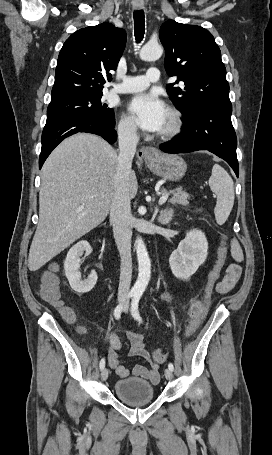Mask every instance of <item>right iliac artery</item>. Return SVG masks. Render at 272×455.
Returning a JSON list of instances; mask_svg holds the SVG:
<instances>
[{
  "label": "right iliac artery",
  "mask_w": 272,
  "mask_h": 455,
  "mask_svg": "<svg viewBox=\"0 0 272 455\" xmlns=\"http://www.w3.org/2000/svg\"><path fill=\"white\" fill-rule=\"evenodd\" d=\"M134 295H135V294H134L133 292H130V293L127 295V298H126V299L129 300V299H130L131 297H133ZM122 309H123V304H120V305H118V306L115 308V310H114V316H115L116 319H119V318H120ZM99 366H100V369H101V370L104 369V367H105V359H104V358L101 359Z\"/></svg>",
  "instance_id": "obj_1"
}]
</instances>
